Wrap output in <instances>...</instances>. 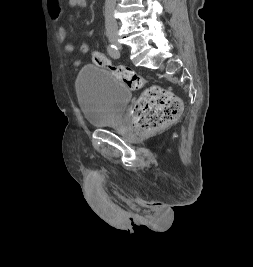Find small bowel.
<instances>
[{"label": "small bowel", "instance_id": "small-bowel-1", "mask_svg": "<svg viewBox=\"0 0 253 267\" xmlns=\"http://www.w3.org/2000/svg\"><path fill=\"white\" fill-rule=\"evenodd\" d=\"M67 2L70 7L79 9L84 8L87 4V0H67ZM47 3L50 15L54 19L59 20L62 16L59 0H47ZM57 38L63 45V49L66 53L74 52L75 46L68 41L67 31L62 25L58 27Z\"/></svg>", "mask_w": 253, "mask_h": 267}]
</instances>
